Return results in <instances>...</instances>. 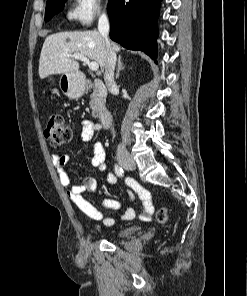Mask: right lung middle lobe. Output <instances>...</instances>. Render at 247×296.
<instances>
[{
  "label": "right lung middle lobe",
  "mask_w": 247,
  "mask_h": 296,
  "mask_svg": "<svg viewBox=\"0 0 247 296\" xmlns=\"http://www.w3.org/2000/svg\"><path fill=\"white\" fill-rule=\"evenodd\" d=\"M65 0H47L45 21H49L52 16L63 8Z\"/></svg>",
  "instance_id": "right-lung-middle-lobe-1"
}]
</instances>
